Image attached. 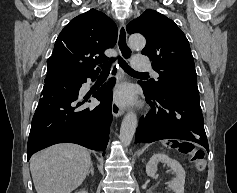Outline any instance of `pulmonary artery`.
Returning <instances> with one entry per match:
<instances>
[{
  "mask_svg": "<svg viewBox=\"0 0 237 193\" xmlns=\"http://www.w3.org/2000/svg\"><path fill=\"white\" fill-rule=\"evenodd\" d=\"M132 66L136 71H152V68L144 56H134L131 60Z\"/></svg>",
  "mask_w": 237,
  "mask_h": 193,
  "instance_id": "1",
  "label": "pulmonary artery"
}]
</instances>
